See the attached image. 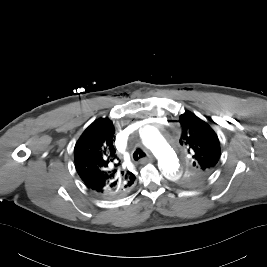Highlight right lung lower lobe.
<instances>
[{"label":"right lung lower lobe","mask_w":267,"mask_h":267,"mask_svg":"<svg viewBox=\"0 0 267 267\" xmlns=\"http://www.w3.org/2000/svg\"><path fill=\"white\" fill-rule=\"evenodd\" d=\"M131 189V188H130ZM122 195H115L114 197H108V198H117V197H121Z\"/></svg>","instance_id":"right-lung-lower-lobe-1"}]
</instances>
